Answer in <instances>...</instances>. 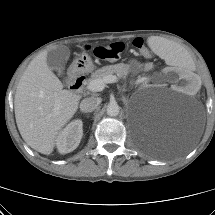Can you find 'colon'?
Segmentation results:
<instances>
[{
	"label": "colon",
	"mask_w": 215,
	"mask_h": 215,
	"mask_svg": "<svg viewBox=\"0 0 215 215\" xmlns=\"http://www.w3.org/2000/svg\"><path fill=\"white\" fill-rule=\"evenodd\" d=\"M133 45L138 48L143 56L148 57L149 53L146 50L143 41L137 38L133 41ZM124 50V44L121 42L111 43L106 46H97L93 48L94 55L99 59L116 60L120 57Z\"/></svg>",
	"instance_id": "1"
}]
</instances>
